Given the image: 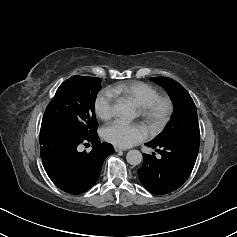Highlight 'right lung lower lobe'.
<instances>
[{"label": "right lung lower lobe", "instance_id": "1", "mask_svg": "<svg viewBox=\"0 0 237 237\" xmlns=\"http://www.w3.org/2000/svg\"><path fill=\"white\" fill-rule=\"evenodd\" d=\"M97 133L75 137L57 128H41L40 152L43 166L52 182L64 192L81 194L97 181L105 158L114 152L109 143H101ZM91 143V152H79L80 144Z\"/></svg>", "mask_w": 237, "mask_h": 237}]
</instances>
